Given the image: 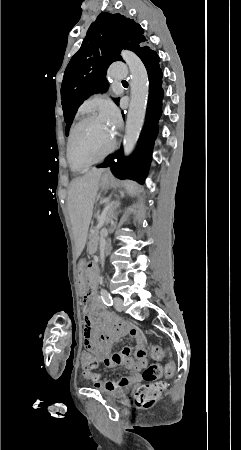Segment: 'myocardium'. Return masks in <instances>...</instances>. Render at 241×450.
I'll return each instance as SVG.
<instances>
[{
    "instance_id": "1",
    "label": "myocardium",
    "mask_w": 241,
    "mask_h": 450,
    "mask_svg": "<svg viewBox=\"0 0 241 450\" xmlns=\"http://www.w3.org/2000/svg\"><path fill=\"white\" fill-rule=\"evenodd\" d=\"M79 118L77 117V116H74L73 117V120L74 121H77ZM76 127H78V122H73V127L71 128V131H70V136H69V138H68V144H67V149H68V153H67V156L69 157V162H74V157H73V149H72V145L74 144V143H76V141H77V138H76V136H77V133L75 132V129H76ZM116 135V134H115ZM113 140H115V139H113ZM113 148L114 149H117L118 148V145L117 144H114L113 145ZM103 156L104 157H108L109 156V153H103ZM97 162H102V158H101V160H97Z\"/></svg>"
}]
</instances>
